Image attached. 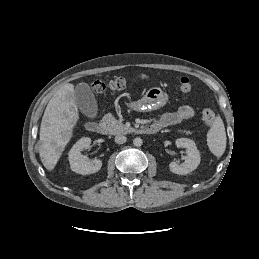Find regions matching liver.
Instances as JSON below:
<instances>
[{"mask_svg":"<svg viewBox=\"0 0 259 259\" xmlns=\"http://www.w3.org/2000/svg\"><path fill=\"white\" fill-rule=\"evenodd\" d=\"M141 79L148 76L141 74ZM79 119L74 85L67 83L50 99L40 126L39 155L44 167L52 171L70 141Z\"/></svg>","mask_w":259,"mask_h":259,"instance_id":"liver-1","label":"liver"}]
</instances>
